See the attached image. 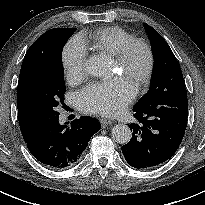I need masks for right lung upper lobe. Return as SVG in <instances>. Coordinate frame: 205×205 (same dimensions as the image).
<instances>
[{
	"mask_svg": "<svg viewBox=\"0 0 205 205\" xmlns=\"http://www.w3.org/2000/svg\"><path fill=\"white\" fill-rule=\"evenodd\" d=\"M56 29L59 28L50 29L45 32L40 38H38L28 49L22 63L17 87V108L19 125L24 140H27L31 133L43 123L37 120L36 117L28 110V108L23 103L20 92L21 84L26 77L28 71L33 66L38 53L45 48L47 42L49 41L53 33L56 31Z\"/></svg>",
	"mask_w": 205,
	"mask_h": 205,
	"instance_id": "cb5924a9",
	"label": "right lung upper lobe"
}]
</instances>
